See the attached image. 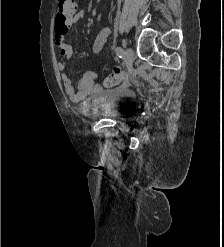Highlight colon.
<instances>
[{
	"label": "colon",
	"instance_id": "5ec220e1",
	"mask_svg": "<svg viewBox=\"0 0 224 247\" xmlns=\"http://www.w3.org/2000/svg\"><path fill=\"white\" fill-rule=\"evenodd\" d=\"M77 5L75 0H58V7L55 21V31L59 33H66L73 21L76 13ZM125 75L122 71L114 72L105 79L106 86H113L123 82Z\"/></svg>",
	"mask_w": 224,
	"mask_h": 247
}]
</instances>
